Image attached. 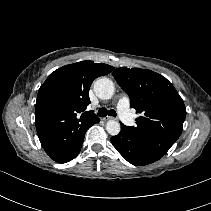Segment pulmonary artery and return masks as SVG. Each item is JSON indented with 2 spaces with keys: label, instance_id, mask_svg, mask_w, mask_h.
<instances>
[{
  "label": "pulmonary artery",
  "instance_id": "pulmonary-artery-1",
  "mask_svg": "<svg viewBox=\"0 0 211 211\" xmlns=\"http://www.w3.org/2000/svg\"><path fill=\"white\" fill-rule=\"evenodd\" d=\"M117 111L120 119L128 126L134 124V117L130 111V100L128 96L124 95L120 97L117 103Z\"/></svg>",
  "mask_w": 211,
  "mask_h": 211
}]
</instances>
